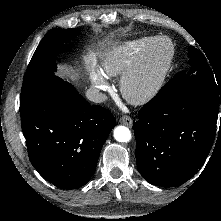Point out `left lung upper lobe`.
Returning <instances> with one entry per match:
<instances>
[{
	"instance_id": "obj_1",
	"label": "left lung upper lobe",
	"mask_w": 221,
	"mask_h": 221,
	"mask_svg": "<svg viewBox=\"0 0 221 221\" xmlns=\"http://www.w3.org/2000/svg\"><path fill=\"white\" fill-rule=\"evenodd\" d=\"M188 56H189V64L191 65L190 71L187 73L184 71L177 73L173 77V80L189 79L192 75L214 78L213 72L206 58L199 50H197L194 47H190Z\"/></svg>"
}]
</instances>
